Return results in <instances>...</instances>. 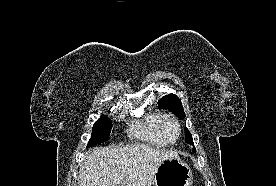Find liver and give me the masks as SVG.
Instances as JSON below:
<instances>
[{"instance_id": "6515ba94", "label": "liver", "mask_w": 276, "mask_h": 186, "mask_svg": "<svg viewBox=\"0 0 276 186\" xmlns=\"http://www.w3.org/2000/svg\"><path fill=\"white\" fill-rule=\"evenodd\" d=\"M176 151L146 144L90 149L79 170V186H151L160 164ZM119 178L120 181L115 179Z\"/></svg>"}]
</instances>
